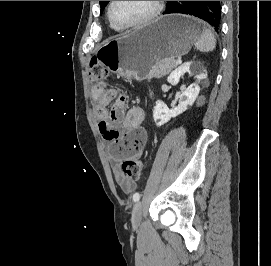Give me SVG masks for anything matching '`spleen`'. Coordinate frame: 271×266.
<instances>
[{"label": "spleen", "instance_id": "obj_1", "mask_svg": "<svg viewBox=\"0 0 271 266\" xmlns=\"http://www.w3.org/2000/svg\"><path fill=\"white\" fill-rule=\"evenodd\" d=\"M216 39L210 29H204L201 36L195 42V48L201 52H211L215 49Z\"/></svg>", "mask_w": 271, "mask_h": 266}]
</instances>
